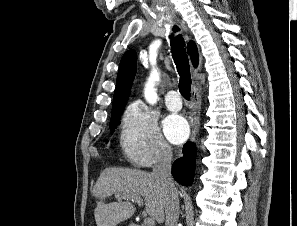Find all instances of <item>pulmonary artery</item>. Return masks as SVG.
<instances>
[{
  "instance_id": "1",
  "label": "pulmonary artery",
  "mask_w": 297,
  "mask_h": 226,
  "mask_svg": "<svg viewBox=\"0 0 297 226\" xmlns=\"http://www.w3.org/2000/svg\"><path fill=\"white\" fill-rule=\"evenodd\" d=\"M165 104L170 111H179L182 107V101L178 92L169 91L165 96Z\"/></svg>"
}]
</instances>
